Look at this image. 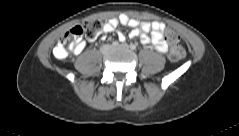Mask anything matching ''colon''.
<instances>
[{"instance_id": "colon-1", "label": "colon", "mask_w": 239, "mask_h": 136, "mask_svg": "<svg viewBox=\"0 0 239 136\" xmlns=\"http://www.w3.org/2000/svg\"><path fill=\"white\" fill-rule=\"evenodd\" d=\"M100 28L101 24L97 20L87 21L82 25L73 27L61 38L54 49V55L58 58H66L72 51L78 48L83 35L93 39L100 32ZM165 37L172 44L171 50L169 52L170 61H180L185 55V49L178 43V34L171 29H167L165 32Z\"/></svg>"}]
</instances>
